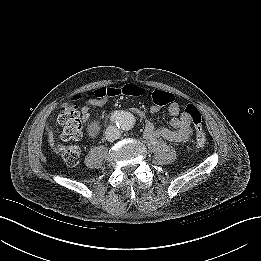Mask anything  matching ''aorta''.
Returning <instances> with one entry per match:
<instances>
[{
	"mask_svg": "<svg viewBox=\"0 0 261 261\" xmlns=\"http://www.w3.org/2000/svg\"><path fill=\"white\" fill-rule=\"evenodd\" d=\"M135 118L130 112H122L117 120V125L122 130H129L134 125Z\"/></svg>",
	"mask_w": 261,
	"mask_h": 261,
	"instance_id": "1",
	"label": "aorta"
}]
</instances>
